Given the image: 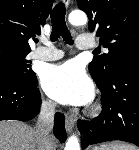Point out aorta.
Returning <instances> with one entry per match:
<instances>
[{"label":"aorta","mask_w":139,"mask_h":150,"mask_svg":"<svg viewBox=\"0 0 139 150\" xmlns=\"http://www.w3.org/2000/svg\"><path fill=\"white\" fill-rule=\"evenodd\" d=\"M68 20L73 26H81L87 23V15L80 10L73 11L69 14ZM64 150H80V143L77 136L72 135L66 142Z\"/></svg>","instance_id":"762f6f07"}]
</instances>
